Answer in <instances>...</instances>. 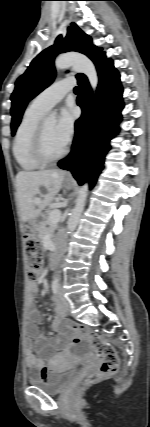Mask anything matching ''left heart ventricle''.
<instances>
[{"mask_svg":"<svg viewBox=\"0 0 150 427\" xmlns=\"http://www.w3.org/2000/svg\"><path fill=\"white\" fill-rule=\"evenodd\" d=\"M44 146L47 155L55 156L58 155L63 149L64 146L56 138L55 134V125L54 124H44Z\"/></svg>","mask_w":150,"mask_h":427,"instance_id":"obj_1","label":"left heart ventricle"}]
</instances>
